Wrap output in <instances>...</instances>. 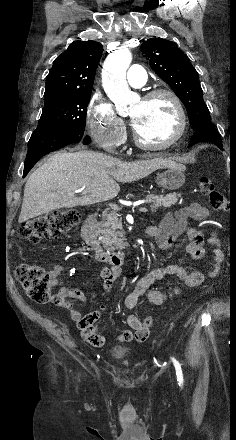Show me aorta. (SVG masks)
Segmentation results:
<instances>
[{"label": "aorta", "instance_id": "762f6f07", "mask_svg": "<svg viewBox=\"0 0 236 440\" xmlns=\"http://www.w3.org/2000/svg\"><path fill=\"white\" fill-rule=\"evenodd\" d=\"M131 61V52L123 47L111 53L103 65V87L119 113L127 110V106L136 99L126 80V71Z\"/></svg>", "mask_w": 236, "mask_h": 440}]
</instances>
